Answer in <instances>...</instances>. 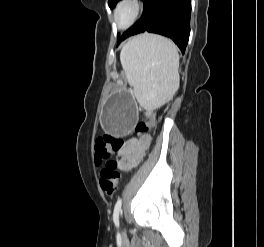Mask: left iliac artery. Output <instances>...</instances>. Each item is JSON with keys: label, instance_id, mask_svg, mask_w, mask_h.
Masks as SVG:
<instances>
[{"label": "left iliac artery", "instance_id": "1", "mask_svg": "<svg viewBox=\"0 0 264 247\" xmlns=\"http://www.w3.org/2000/svg\"><path fill=\"white\" fill-rule=\"evenodd\" d=\"M122 200L119 198L115 204L113 211V221L116 225L119 224V213L121 211Z\"/></svg>", "mask_w": 264, "mask_h": 247}]
</instances>
